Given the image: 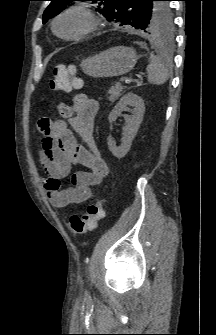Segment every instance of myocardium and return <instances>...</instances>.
Instances as JSON below:
<instances>
[{
	"label": "myocardium",
	"mask_w": 216,
	"mask_h": 335,
	"mask_svg": "<svg viewBox=\"0 0 216 335\" xmlns=\"http://www.w3.org/2000/svg\"><path fill=\"white\" fill-rule=\"evenodd\" d=\"M69 13H77L80 14L81 16L84 17L86 21V26L84 27L83 30H81L79 33L72 35V36H63L61 35L58 30H57V25L59 20L69 14ZM100 26V19L99 17L95 14L93 10L90 8L83 6V5H75V6H70L66 9H64L62 12H60L55 19L53 20L52 23V30L53 32L61 39L67 40V41H74V40H79L82 39L83 37L87 36L88 34L92 33L95 31L98 27Z\"/></svg>",
	"instance_id": "f54148a6"
}]
</instances>
